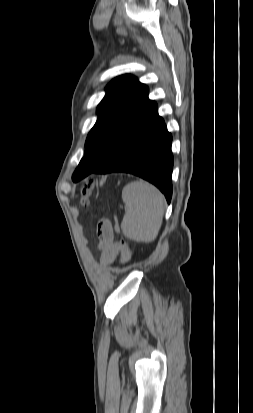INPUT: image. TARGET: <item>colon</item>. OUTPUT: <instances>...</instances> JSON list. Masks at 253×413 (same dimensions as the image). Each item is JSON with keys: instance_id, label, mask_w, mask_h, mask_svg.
<instances>
[{"instance_id": "1", "label": "colon", "mask_w": 253, "mask_h": 413, "mask_svg": "<svg viewBox=\"0 0 253 413\" xmlns=\"http://www.w3.org/2000/svg\"><path fill=\"white\" fill-rule=\"evenodd\" d=\"M92 188H93V184L91 182L87 183L84 186V188L82 189V193H81L82 203L84 204L88 203ZM121 244L124 245V242H121Z\"/></svg>"}]
</instances>
